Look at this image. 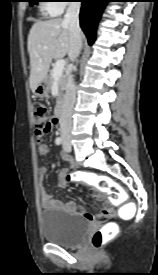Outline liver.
<instances>
[{"label":"liver","instance_id":"6515ba94","mask_svg":"<svg viewBox=\"0 0 158 275\" xmlns=\"http://www.w3.org/2000/svg\"><path fill=\"white\" fill-rule=\"evenodd\" d=\"M69 26L61 18L37 21L28 35L30 88L34 92L46 77L53 58L62 59L69 52Z\"/></svg>","mask_w":158,"mask_h":275}]
</instances>
